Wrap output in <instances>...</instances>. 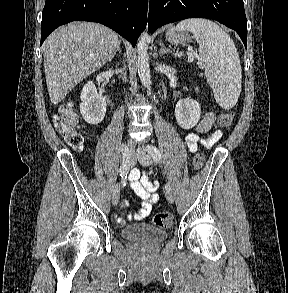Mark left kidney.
Returning a JSON list of instances; mask_svg holds the SVG:
<instances>
[{
  "label": "left kidney",
  "instance_id": "1",
  "mask_svg": "<svg viewBox=\"0 0 288 293\" xmlns=\"http://www.w3.org/2000/svg\"><path fill=\"white\" fill-rule=\"evenodd\" d=\"M198 92V87L195 88ZM201 107L199 102L193 99H181L175 107V117L180 127L183 129L193 128L199 121Z\"/></svg>",
  "mask_w": 288,
  "mask_h": 293
}]
</instances>
